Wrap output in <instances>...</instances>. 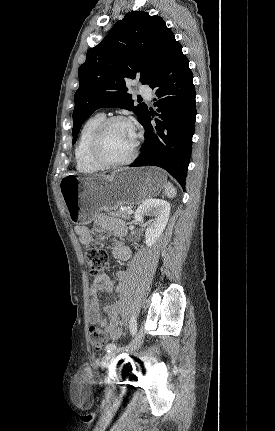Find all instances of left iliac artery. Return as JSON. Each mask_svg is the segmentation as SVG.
I'll return each mask as SVG.
<instances>
[{
	"instance_id": "obj_1",
	"label": "left iliac artery",
	"mask_w": 275,
	"mask_h": 431,
	"mask_svg": "<svg viewBox=\"0 0 275 431\" xmlns=\"http://www.w3.org/2000/svg\"><path fill=\"white\" fill-rule=\"evenodd\" d=\"M129 329H130L132 336H135L137 333V324H136V319L134 316L131 317ZM116 348H117V346L115 343H110L106 346V351L111 352V351L115 350Z\"/></svg>"
}]
</instances>
